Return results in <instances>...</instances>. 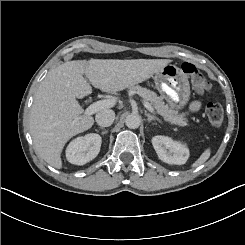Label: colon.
<instances>
[{
    "mask_svg": "<svg viewBox=\"0 0 245 245\" xmlns=\"http://www.w3.org/2000/svg\"><path fill=\"white\" fill-rule=\"evenodd\" d=\"M182 70L190 77L193 86L199 92H206L210 89V84L203 73L192 63L182 64ZM206 116L213 127H220L224 120L223 108L218 103H209L206 106Z\"/></svg>",
    "mask_w": 245,
    "mask_h": 245,
    "instance_id": "obj_1",
    "label": "colon"
}]
</instances>
